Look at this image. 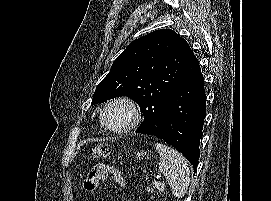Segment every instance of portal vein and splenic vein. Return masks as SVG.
Here are the masks:
<instances>
[{
	"mask_svg": "<svg viewBox=\"0 0 271 201\" xmlns=\"http://www.w3.org/2000/svg\"><path fill=\"white\" fill-rule=\"evenodd\" d=\"M161 177H162V175H161V174H158V175L156 176V179H161Z\"/></svg>",
	"mask_w": 271,
	"mask_h": 201,
	"instance_id": "obj_1",
	"label": "portal vein and splenic vein"
}]
</instances>
